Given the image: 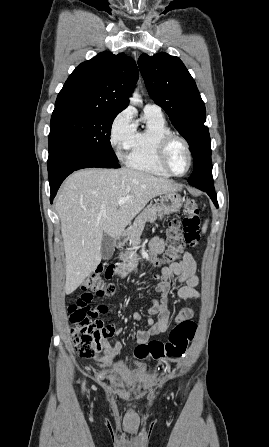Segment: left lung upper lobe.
<instances>
[{
  "instance_id": "1",
  "label": "left lung upper lobe",
  "mask_w": 269,
  "mask_h": 447,
  "mask_svg": "<svg viewBox=\"0 0 269 447\" xmlns=\"http://www.w3.org/2000/svg\"><path fill=\"white\" fill-rule=\"evenodd\" d=\"M138 65L150 97L164 109L190 146L194 170L189 184L213 185L211 141L204 125L205 104L194 79L178 57L167 53L151 57L142 54Z\"/></svg>"
}]
</instances>
